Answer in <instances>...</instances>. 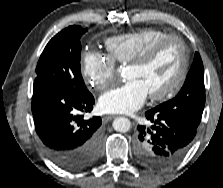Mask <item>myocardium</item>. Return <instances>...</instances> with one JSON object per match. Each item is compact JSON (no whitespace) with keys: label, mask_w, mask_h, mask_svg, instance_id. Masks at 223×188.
I'll use <instances>...</instances> for the list:
<instances>
[{"label":"myocardium","mask_w":223,"mask_h":188,"mask_svg":"<svg viewBox=\"0 0 223 188\" xmlns=\"http://www.w3.org/2000/svg\"><path fill=\"white\" fill-rule=\"evenodd\" d=\"M169 42H176L181 49V67L174 81L166 89L149 94V98L154 101H162L175 95L183 86L189 72V51L185 41L177 35H166L156 42L147 46L141 53L133 58L127 67H140L150 62L153 57Z\"/></svg>","instance_id":"f54148a6"}]
</instances>
